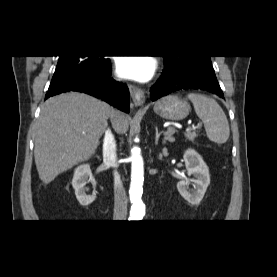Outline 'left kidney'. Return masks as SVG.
I'll list each match as a JSON object with an SVG mask.
<instances>
[{"label": "left kidney", "mask_w": 277, "mask_h": 277, "mask_svg": "<svg viewBox=\"0 0 277 277\" xmlns=\"http://www.w3.org/2000/svg\"><path fill=\"white\" fill-rule=\"evenodd\" d=\"M183 158L188 176L192 175L194 178L179 181L177 189L185 200L193 205H197L203 199L210 184L209 168L202 157L193 149L186 150ZM190 182H193L195 190L189 189Z\"/></svg>", "instance_id": "obj_1"}]
</instances>
